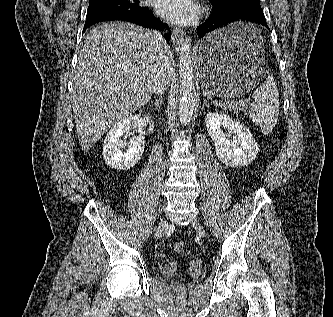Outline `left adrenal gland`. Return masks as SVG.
I'll list each match as a JSON object with an SVG mask.
<instances>
[{"label":"left adrenal gland","instance_id":"left-adrenal-gland-1","mask_svg":"<svg viewBox=\"0 0 333 317\" xmlns=\"http://www.w3.org/2000/svg\"><path fill=\"white\" fill-rule=\"evenodd\" d=\"M205 107H209L208 101L206 99L204 100V104H203V108H205Z\"/></svg>","mask_w":333,"mask_h":317}]
</instances>
